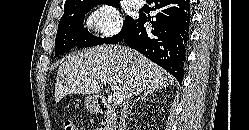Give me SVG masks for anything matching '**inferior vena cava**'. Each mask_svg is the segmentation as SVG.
Masks as SVG:
<instances>
[{
  "instance_id": "1",
  "label": "inferior vena cava",
  "mask_w": 249,
  "mask_h": 130,
  "mask_svg": "<svg viewBox=\"0 0 249 130\" xmlns=\"http://www.w3.org/2000/svg\"><path fill=\"white\" fill-rule=\"evenodd\" d=\"M127 108H128V101H126L124 103V108H123V111H122V117H121V120L122 122H124L125 118H126V114H127Z\"/></svg>"
}]
</instances>
